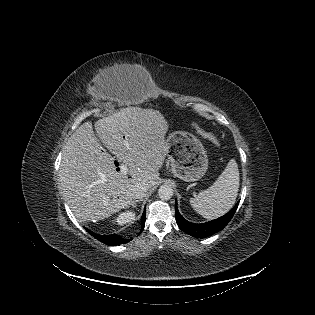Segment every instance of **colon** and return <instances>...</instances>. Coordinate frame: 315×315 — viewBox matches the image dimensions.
Instances as JSON below:
<instances>
[{"instance_id":"1","label":"colon","mask_w":315,"mask_h":315,"mask_svg":"<svg viewBox=\"0 0 315 315\" xmlns=\"http://www.w3.org/2000/svg\"><path fill=\"white\" fill-rule=\"evenodd\" d=\"M194 127L203 137L210 140L214 145L220 146V140L213 132L205 130L199 124H194Z\"/></svg>"}]
</instances>
